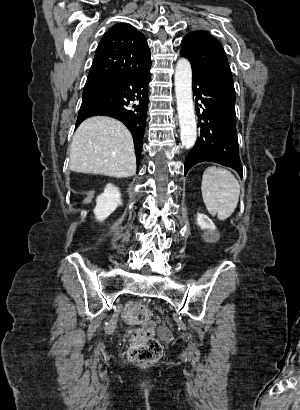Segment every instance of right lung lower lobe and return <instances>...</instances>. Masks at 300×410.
<instances>
[{"label":"right lung lower lobe","mask_w":300,"mask_h":410,"mask_svg":"<svg viewBox=\"0 0 300 410\" xmlns=\"http://www.w3.org/2000/svg\"><path fill=\"white\" fill-rule=\"evenodd\" d=\"M151 67V66H150ZM150 67L140 72H128L108 82L83 91L76 127L94 115L110 116L123 122L130 130L136 148L141 147L148 109ZM141 151L136 155L140 162Z\"/></svg>","instance_id":"obj_1"}]
</instances>
